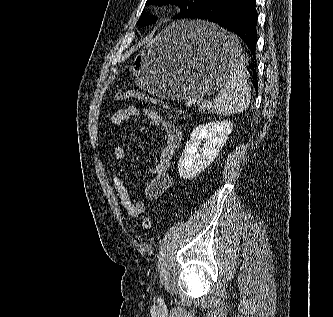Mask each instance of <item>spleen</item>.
<instances>
[{"mask_svg": "<svg viewBox=\"0 0 333 317\" xmlns=\"http://www.w3.org/2000/svg\"><path fill=\"white\" fill-rule=\"evenodd\" d=\"M219 44L229 55V70L211 109L227 116L246 110L250 103L251 89L247 82L244 57L240 53L238 39L219 27Z\"/></svg>", "mask_w": 333, "mask_h": 317, "instance_id": "spleen-1", "label": "spleen"}]
</instances>
